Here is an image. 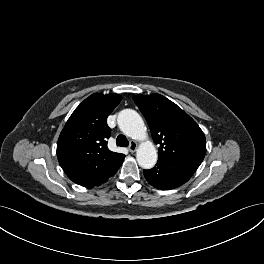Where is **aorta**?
I'll return each instance as SVG.
<instances>
[{"label": "aorta", "mask_w": 264, "mask_h": 264, "mask_svg": "<svg viewBox=\"0 0 264 264\" xmlns=\"http://www.w3.org/2000/svg\"><path fill=\"white\" fill-rule=\"evenodd\" d=\"M120 130L128 137L141 141L136 153V159L140 167L151 169L157 162V150L154 144L148 140L146 127L141 116L132 109L122 110L117 117Z\"/></svg>", "instance_id": "aorta-1"}]
</instances>
